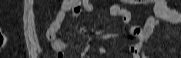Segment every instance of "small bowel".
Returning a JSON list of instances; mask_svg holds the SVG:
<instances>
[{
  "label": "small bowel",
  "mask_w": 181,
  "mask_h": 58,
  "mask_svg": "<svg viewBox=\"0 0 181 58\" xmlns=\"http://www.w3.org/2000/svg\"><path fill=\"white\" fill-rule=\"evenodd\" d=\"M93 4L89 0H64L62 1L60 8L55 16V19L49 26L46 32L48 40L53 44L55 51L58 54H62L66 48V44L57 38V33L60 30L67 14H71L74 17H78L83 10L87 12L93 11ZM111 13L115 16L122 17L126 24L130 23L129 12L121 8L119 5H113L111 7ZM161 21L169 22L172 24L181 23V13L171 8L166 0H156L154 3V16L147 19L144 26H130L129 31L132 35L139 39L137 44L130 47L132 58H149L146 55V47L150 42L153 32L156 27L159 26ZM98 52L105 53V48L99 47Z\"/></svg>",
  "instance_id": "1"
}]
</instances>
